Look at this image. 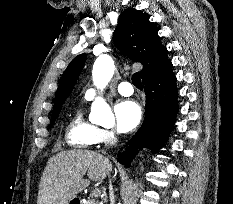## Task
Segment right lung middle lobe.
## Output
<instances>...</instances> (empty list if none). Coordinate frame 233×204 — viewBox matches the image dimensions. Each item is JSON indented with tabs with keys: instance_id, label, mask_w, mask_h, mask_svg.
<instances>
[{
	"instance_id": "1",
	"label": "right lung middle lobe",
	"mask_w": 233,
	"mask_h": 204,
	"mask_svg": "<svg viewBox=\"0 0 233 204\" xmlns=\"http://www.w3.org/2000/svg\"><path fill=\"white\" fill-rule=\"evenodd\" d=\"M56 118L57 117H54V118L51 119V123H50L51 126L54 124V121H55Z\"/></svg>"
}]
</instances>
